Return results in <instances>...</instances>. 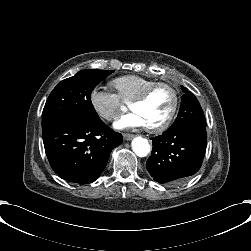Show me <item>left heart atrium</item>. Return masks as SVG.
Here are the masks:
<instances>
[{"label": "left heart atrium", "mask_w": 251, "mask_h": 251, "mask_svg": "<svg viewBox=\"0 0 251 251\" xmlns=\"http://www.w3.org/2000/svg\"><path fill=\"white\" fill-rule=\"evenodd\" d=\"M147 121L139 110H133L127 114L118 117L114 123V127L119 130H127L136 127H146Z\"/></svg>", "instance_id": "obj_1"}]
</instances>
